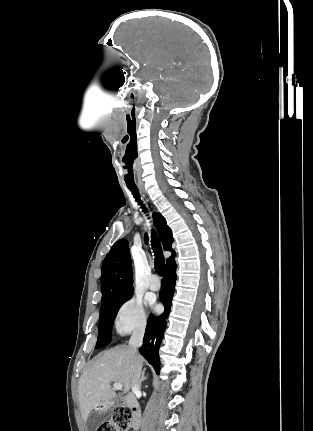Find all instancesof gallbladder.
Here are the masks:
<instances>
[{"label":"gallbladder","mask_w":313,"mask_h":431,"mask_svg":"<svg viewBox=\"0 0 313 431\" xmlns=\"http://www.w3.org/2000/svg\"><path fill=\"white\" fill-rule=\"evenodd\" d=\"M104 417V414L98 413L94 414L91 418H89L87 421L88 431H91L93 428L100 425Z\"/></svg>","instance_id":"1"}]
</instances>
